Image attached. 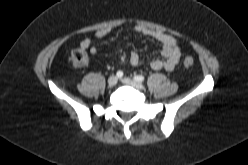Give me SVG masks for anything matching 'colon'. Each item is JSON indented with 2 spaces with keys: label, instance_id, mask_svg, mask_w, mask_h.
<instances>
[{
  "label": "colon",
  "instance_id": "colon-1",
  "mask_svg": "<svg viewBox=\"0 0 248 165\" xmlns=\"http://www.w3.org/2000/svg\"><path fill=\"white\" fill-rule=\"evenodd\" d=\"M69 61L73 67H84L88 63V56L86 50L82 47H77L73 49L70 54ZM183 65L186 68H191L194 65V60L191 57H186L183 60Z\"/></svg>",
  "mask_w": 248,
  "mask_h": 165
}]
</instances>
